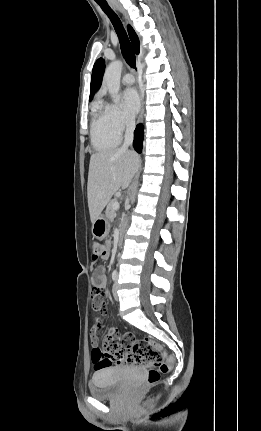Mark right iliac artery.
<instances>
[{
  "label": "right iliac artery",
  "mask_w": 261,
  "mask_h": 431,
  "mask_svg": "<svg viewBox=\"0 0 261 431\" xmlns=\"http://www.w3.org/2000/svg\"><path fill=\"white\" fill-rule=\"evenodd\" d=\"M116 279H117V272H116V270H114L112 272V280L115 281Z\"/></svg>",
  "instance_id": "obj_1"
}]
</instances>
